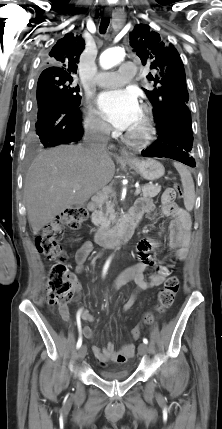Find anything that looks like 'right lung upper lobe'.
I'll return each instance as SVG.
<instances>
[{"label":"right lung upper lobe","instance_id":"right-lung-upper-lobe-1","mask_svg":"<svg viewBox=\"0 0 222 429\" xmlns=\"http://www.w3.org/2000/svg\"><path fill=\"white\" fill-rule=\"evenodd\" d=\"M85 48L83 38L68 33L53 46L47 57L48 68L40 76H72L77 71L79 57Z\"/></svg>","mask_w":222,"mask_h":429}]
</instances>
